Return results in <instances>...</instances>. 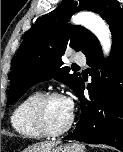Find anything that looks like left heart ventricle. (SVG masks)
I'll list each match as a JSON object with an SVG mask.
<instances>
[{
    "mask_svg": "<svg viewBox=\"0 0 123 152\" xmlns=\"http://www.w3.org/2000/svg\"><path fill=\"white\" fill-rule=\"evenodd\" d=\"M71 111L64 98H56L48 102L45 109V118L50 129L62 128L69 120Z\"/></svg>",
    "mask_w": 123,
    "mask_h": 152,
    "instance_id": "1",
    "label": "left heart ventricle"
}]
</instances>
